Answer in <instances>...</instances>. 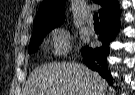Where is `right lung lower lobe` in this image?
Wrapping results in <instances>:
<instances>
[{
    "instance_id": "right-lung-lower-lobe-1",
    "label": "right lung lower lobe",
    "mask_w": 135,
    "mask_h": 95,
    "mask_svg": "<svg viewBox=\"0 0 135 95\" xmlns=\"http://www.w3.org/2000/svg\"><path fill=\"white\" fill-rule=\"evenodd\" d=\"M120 27V16L101 22V33L98 40L102 42L101 47H83L81 53L84 63L93 71H97L103 78L112 84V78L107 67V56L110 43L114 40Z\"/></svg>"
}]
</instances>
